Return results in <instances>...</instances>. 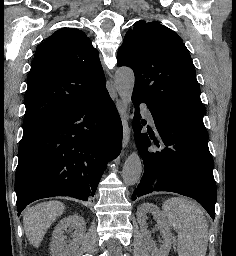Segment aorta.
<instances>
[{
	"mask_svg": "<svg viewBox=\"0 0 236 256\" xmlns=\"http://www.w3.org/2000/svg\"><path fill=\"white\" fill-rule=\"evenodd\" d=\"M135 83L133 71L128 67H121L115 73V86L125 107L131 102ZM142 174V162L138 152L133 151L125 160L122 178L126 185H135Z\"/></svg>",
	"mask_w": 236,
	"mask_h": 256,
	"instance_id": "762f6f07",
	"label": "aorta"
}]
</instances>
